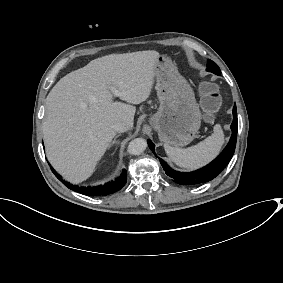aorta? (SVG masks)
Masks as SVG:
<instances>
[{"label":"aorta","mask_w":283,"mask_h":283,"mask_svg":"<svg viewBox=\"0 0 283 283\" xmlns=\"http://www.w3.org/2000/svg\"><path fill=\"white\" fill-rule=\"evenodd\" d=\"M146 147H147V142L145 139L136 138L129 143L127 151L131 155H139L145 151Z\"/></svg>","instance_id":"obj_1"}]
</instances>
